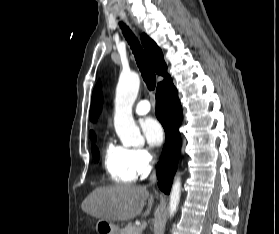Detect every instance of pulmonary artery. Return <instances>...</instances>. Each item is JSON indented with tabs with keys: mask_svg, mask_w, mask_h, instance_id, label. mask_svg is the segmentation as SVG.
Instances as JSON below:
<instances>
[{
	"mask_svg": "<svg viewBox=\"0 0 279 234\" xmlns=\"http://www.w3.org/2000/svg\"><path fill=\"white\" fill-rule=\"evenodd\" d=\"M150 109H151V105L149 101L144 99V100H140L136 104L134 111L138 115H145L150 111Z\"/></svg>",
	"mask_w": 279,
	"mask_h": 234,
	"instance_id": "1",
	"label": "pulmonary artery"
}]
</instances>
